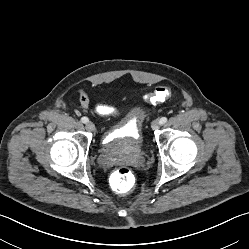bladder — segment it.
I'll list each match as a JSON object with an SVG mask.
<instances>
[{
    "mask_svg": "<svg viewBox=\"0 0 249 249\" xmlns=\"http://www.w3.org/2000/svg\"><path fill=\"white\" fill-rule=\"evenodd\" d=\"M132 113L136 117L144 114L140 109H134ZM143 147L144 143L139 124L135 126L122 123L110 130L103 141L106 161H110L119 152L142 151Z\"/></svg>",
    "mask_w": 249,
    "mask_h": 249,
    "instance_id": "bladder-1",
    "label": "bladder"
}]
</instances>
